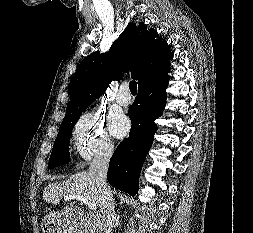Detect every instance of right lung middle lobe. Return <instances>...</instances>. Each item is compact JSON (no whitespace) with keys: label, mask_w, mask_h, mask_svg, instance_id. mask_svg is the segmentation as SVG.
Instances as JSON below:
<instances>
[{"label":"right lung middle lobe","mask_w":253,"mask_h":233,"mask_svg":"<svg viewBox=\"0 0 253 233\" xmlns=\"http://www.w3.org/2000/svg\"><path fill=\"white\" fill-rule=\"evenodd\" d=\"M81 114L82 112L63 120L52 149L49 160V169L64 165L70 161V154L67 146L69 145L72 129Z\"/></svg>","instance_id":"obj_1"}]
</instances>
